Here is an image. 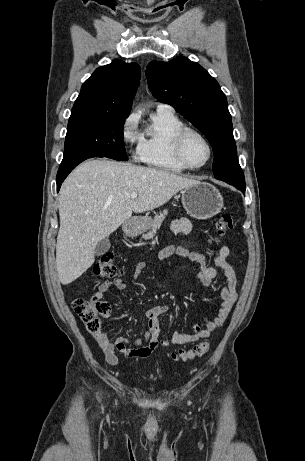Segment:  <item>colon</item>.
Returning a JSON list of instances; mask_svg holds the SVG:
<instances>
[{
	"label": "colon",
	"instance_id": "1",
	"mask_svg": "<svg viewBox=\"0 0 305 461\" xmlns=\"http://www.w3.org/2000/svg\"><path fill=\"white\" fill-rule=\"evenodd\" d=\"M234 227L233 218L230 214L223 213L218 217L216 228L219 236L225 235ZM94 273L100 278L114 279L121 275L120 268L114 263L111 254L100 257L94 266ZM75 313L84 322L90 333H99L103 327V318L110 313V304L95 296L89 299L78 298L73 301ZM209 349L208 342H201L190 349L179 350L172 354L174 360L187 361L196 357H201Z\"/></svg>",
	"mask_w": 305,
	"mask_h": 461
}]
</instances>
